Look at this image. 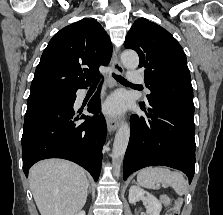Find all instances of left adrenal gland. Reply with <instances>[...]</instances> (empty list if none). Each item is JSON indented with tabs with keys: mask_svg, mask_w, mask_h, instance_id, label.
Returning <instances> with one entry per match:
<instances>
[{
	"mask_svg": "<svg viewBox=\"0 0 223 215\" xmlns=\"http://www.w3.org/2000/svg\"><path fill=\"white\" fill-rule=\"evenodd\" d=\"M133 183H135V179H133Z\"/></svg>",
	"mask_w": 223,
	"mask_h": 215,
	"instance_id": "obj_1",
	"label": "left adrenal gland"
}]
</instances>
